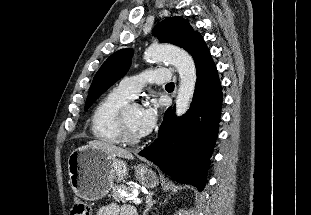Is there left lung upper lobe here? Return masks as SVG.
I'll list each match as a JSON object with an SVG mask.
<instances>
[{
    "label": "left lung upper lobe",
    "mask_w": 311,
    "mask_h": 215,
    "mask_svg": "<svg viewBox=\"0 0 311 215\" xmlns=\"http://www.w3.org/2000/svg\"><path fill=\"white\" fill-rule=\"evenodd\" d=\"M153 34L162 43H171L186 51L201 35L182 17H168L155 26ZM132 50L122 49L111 55L97 71L85 104L87 110L110 86L123 77L131 64Z\"/></svg>",
    "instance_id": "1"
}]
</instances>
